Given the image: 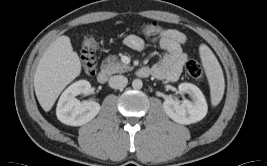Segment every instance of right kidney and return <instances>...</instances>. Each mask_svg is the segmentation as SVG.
<instances>
[{"mask_svg":"<svg viewBox=\"0 0 267 166\" xmlns=\"http://www.w3.org/2000/svg\"><path fill=\"white\" fill-rule=\"evenodd\" d=\"M91 84L79 80L70 85L59 98L56 115L66 125L81 126L91 121L100 111V105L94 101L80 102L76 96L91 93Z\"/></svg>","mask_w":267,"mask_h":166,"instance_id":"obj_1","label":"right kidney"}]
</instances>
